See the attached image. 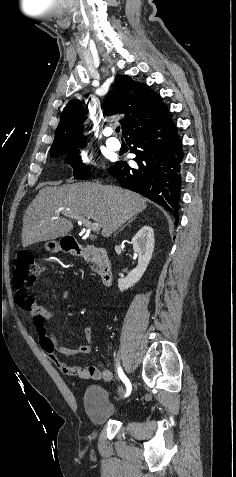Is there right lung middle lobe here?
Masks as SVG:
<instances>
[{"mask_svg":"<svg viewBox=\"0 0 236 477\" xmlns=\"http://www.w3.org/2000/svg\"><path fill=\"white\" fill-rule=\"evenodd\" d=\"M68 153L65 161L68 163L70 166H72L74 170V179L77 180H85L89 179L91 177V174L88 172L90 168L85 166L82 163V160L79 157V150H55L50 152L51 157H57L61 154Z\"/></svg>","mask_w":236,"mask_h":477,"instance_id":"obj_1","label":"right lung middle lobe"}]
</instances>
